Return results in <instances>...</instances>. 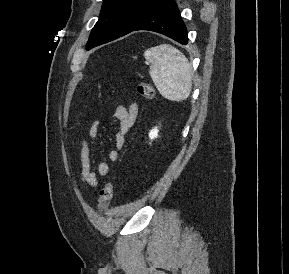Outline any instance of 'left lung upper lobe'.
I'll return each mask as SVG.
<instances>
[{
    "instance_id": "1",
    "label": "left lung upper lobe",
    "mask_w": 289,
    "mask_h": 274,
    "mask_svg": "<svg viewBox=\"0 0 289 274\" xmlns=\"http://www.w3.org/2000/svg\"><path fill=\"white\" fill-rule=\"evenodd\" d=\"M168 0H105L93 27L87 49L113 41L132 32Z\"/></svg>"
}]
</instances>
